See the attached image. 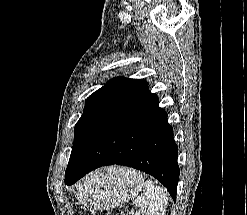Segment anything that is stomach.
Returning a JSON list of instances; mask_svg holds the SVG:
<instances>
[{"label":"stomach","mask_w":247,"mask_h":215,"mask_svg":"<svg viewBox=\"0 0 247 215\" xmlns=\"http://www.w3.org/2000/svg\"><path fill=\"white\" fill-rule=\"evenodd\" d=\"M119 167L99 170L87 178L79 187L78 199L87 208L109 209L120 202L133 198L142 187L139 174ZM130 171V173H128Z\"/></svg>","instance_id":"stomach-1"}]
</instances>
